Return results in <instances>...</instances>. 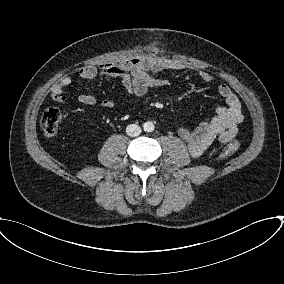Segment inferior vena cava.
Segmentation results:
<instances>
[{"label":"inferior vena cava","mask_w":284,"mask_h":284,"mask_svg":"<svg viewBox=\"0 0 284 284\" xmlns=\"http://www.w3.org/2000/svg\"><path fill=\"white\" fill-rule=\"evenodd\" d=\"M126 133H127V135H129L131 137H135V136L140 135L141 128H140V126H138L136 124H130L126 127Z\"/></svg>","instance_id":"602c4592"}]
</instances>
